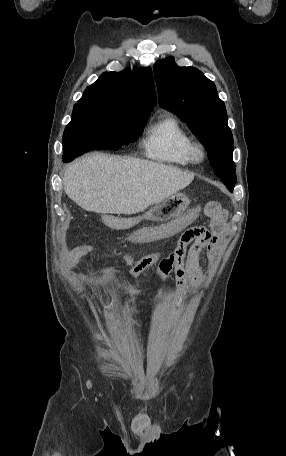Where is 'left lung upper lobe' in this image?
<instances>
[{
    "label": "left lung upper lobe",
    "mask_w": 286,
    "mask_h": 456,
    "mask_svg": "<svg viewBox=\"0 0 286 456\" xmlns=\"http://www.w3.org/2000/svg\"><path fill=\"white\" fill-rule=\"evenodd\" d=\"M159 105L188 124L207 150L215 174L233 192V137L215 84L194 67H178L172 57L154 66Z\"/></svg>",
    "instance_id": "5c2ea615"
}]
</instances>
